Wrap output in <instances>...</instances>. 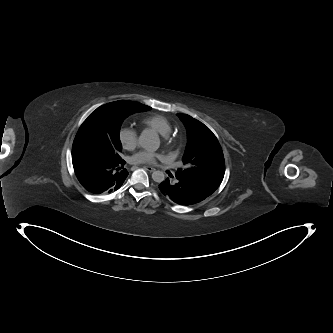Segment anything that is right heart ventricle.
Segmentation results:
<instances>
[{
    "mask_svg": "<svg viewBox=\"0 0 333 333\" xmlns=\"http://www.w3.org/2000/svg\"><path fill=\"white\" fill-rule=\"evenodd\" d=\"M140 125L152 128L160 134H168L171 130L170 122L161 115H150L141 119Z\"/></svg>",
    "mask_w": 333,
    "mask_h": 333,
    "instance_id": "1",
    "label": "right heart ventricle"
}]
</instances>
